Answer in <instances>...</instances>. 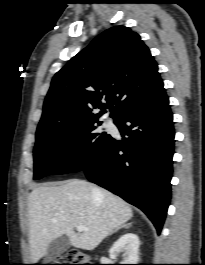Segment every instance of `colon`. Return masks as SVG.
<instances>
[{"instance_id":"1","label":"colon","mask_w":205,"mask_h":265,"mask_svg":"<svg viewBox=\"0 0 205 265\" xmlns=\"http://www.w3.org/2000/svg\"><path fill=\"white\" fill-rule=\"evenodd\" d=\"M89 256L83 251H72L65 256L58 257L54 264L48 265H92Z\"/></svg>"}]
</instances>
